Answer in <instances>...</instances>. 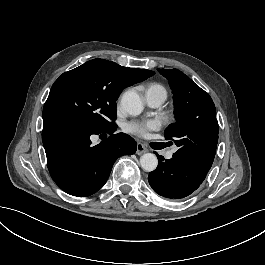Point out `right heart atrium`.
<instances>
[{
    "label": "right heart atrium",
    "instance_id": "d8ad5b80",
    "mask_svg": "<svg viewBox=\"0 0 265 265\" xmlns=\"http://www.w3.org/2000/svg\"><path fill=\"white\" fill-rule=\"evenodd\" d=\"M117 116H118L119 118H124V117L126 116V111H125L124 109H119V110L117 111Z\"/></svg>",
    "mask_w": 265,
    "mask_h": 265
}]
</instances>
